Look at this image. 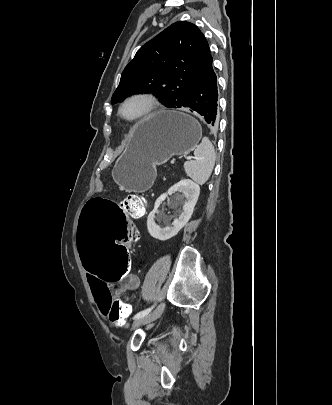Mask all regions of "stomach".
<instances>
[{
    "instance_id": "stomach-1",
    "label": "stomach",
    "mask_w": 332,
    "mask_h": 405,
    "mask_svg": "<svg viewBox=\"0 0 332 405\" xmlns=\"http://www.w3.org/2000/svg\"><path fill=\"white\" fill-rule=\"evenodd\" d=\"M202 138L199 122L185 111L157 112L139 121L112 178L125 191H145L153 184L156 166L175 155H186Z\"/></svg>"
}]
</instances>
